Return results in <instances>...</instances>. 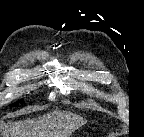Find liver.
Wrapping results in <instances>:
<instances>
[{
    "label": "liver",
    "instance_id": "1",
    "mask_svg": "<svg viewBox=\"0 0 144 137\" xmlns=\"http://www.w3.org/2000/svg\"><path fill=\"white\" fill-rule=\"evenodd\" d=\"M86 119L69 111L55 110L34 119L10 124L11 137H70Z\"/></svg>",
    "mask_w": 144,
    "mask_h": 137
}]
</instances>
